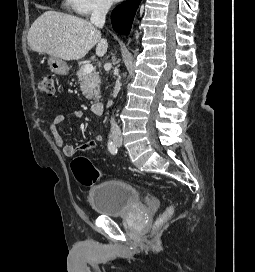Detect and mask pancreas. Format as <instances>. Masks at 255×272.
I'll use <instances>...</instances> for the list:
<instances>
[{
  "label": "pancreas",
  "instance_id": "pancreas-1",
  "mask_svg": "<svg viewBox=\"0 0 255 272\" xmlns=\"http://www.w3.org/2000/svg\"><path fill=\"white\" fill-rule=\"evenodd\" d=\"M83 67L84 66H81L76 73L80 82L81 91L89 100L98 98L100 95L99 73L95 70L91 73H85Z\"/></svg>",
  "mask_w": 255,
  "mask_h": 272
}]
</instances>
